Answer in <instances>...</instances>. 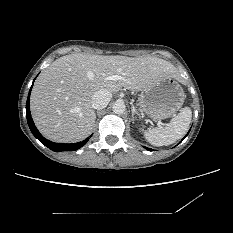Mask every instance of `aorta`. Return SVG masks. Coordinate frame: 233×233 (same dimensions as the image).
I'll use <instances>...</instances> for the list:
<instances>
[{
    "label": "aorta",
    "instance_id": "aorta-1",
    "mask_svg": "<svg viewBox=\"0 0 233 233\" xmlns=\"http://www.w3.org/2000/svg\"><path fill=\"white\" fill-rule=\"evenodd\" d=\"M112 108L115 114H122L126 110V106L123 101H116Z\"/></svg>",
    "mask_w": 233,
    "mask_h": 233
}]
</instances>
